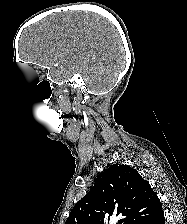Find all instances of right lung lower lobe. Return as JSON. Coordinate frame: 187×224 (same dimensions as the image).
I'll list each match as a JSON object with an SVG mask.
<instances>
[{
	"mask_svg": "<svg viewBox=\"0 0 187 224\" xmlns=\"http://www.w3.org/2000/svg\"><path fill=\"white\" fill-rule=\"evenodd\" d=\"M165 219L163 215V211L161 210L158 214L150 217L148 219H143L139 221L137 224H164Z\"/></svg>",
	"mask_w": 187,
	"mask_h": 224,
	"instance_id": "obj_1",
	"label": "right lung lower lobe"
}]
</instances>
